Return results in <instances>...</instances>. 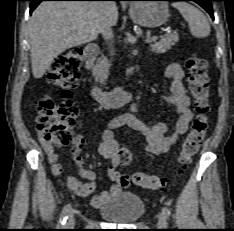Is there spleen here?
<instances>
[{
  "label": "spleen",
  "instance_id": "3e777b00",
  "mask_svg": "<svg viewBox=\"0 0 234 231\" xmlns=\"http://www.w3.org/2000/svg\"><path fill=\"white\" fill-rule=\"evenodd\" d=\"M182 17L188 22L190 32L194 37L204 38L210 34V25L205 15L196 7L187 2H174Z\"/></svg>",
  "mask_w": 234,
  "mask_h": 231
}]
</instances>
